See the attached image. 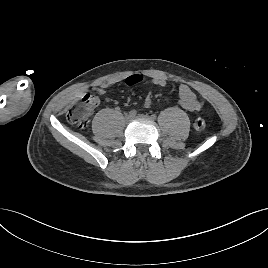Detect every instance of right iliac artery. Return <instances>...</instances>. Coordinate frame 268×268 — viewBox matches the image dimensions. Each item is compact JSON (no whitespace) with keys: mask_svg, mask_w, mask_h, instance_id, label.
<instances>
[{"mask_svg":"<svg viewBox=\"0 0 268 268\" xmlns=\"http://www.w3.org/2000/svg\"><path fill=\"white\" fill-rule=\"evenodd\" d=\"M129 114H130L131 116H135V115L137 114V111H136V110H131V111L129 112Z\"/></svg>","mask_w":268,"mask_h":268,"instance_id":"82829eb1","label":"right iliac artery"}]
</instances>
